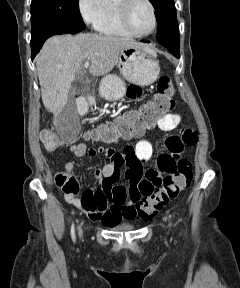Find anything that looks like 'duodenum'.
<instances>
[{
  "mask_svg": "<svg viewBox=\"0 0 240 288\" xmlns=\"http://www.w3.org/2000/svg\"><path fill=\"white\" fill-rule=\"evenodd\" d=\"M89 110V98L82 97L78 100V111L80 114H86Z\"/></svg>",
  "mask_w": 240,
  "mask_h": 288,
  "instance_id": "1",
  "label": "duodenum"
}]
</instances>
